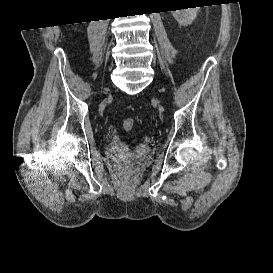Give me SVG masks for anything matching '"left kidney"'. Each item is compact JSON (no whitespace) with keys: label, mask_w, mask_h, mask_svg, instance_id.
I'll list each match as a JSON object with an SVG mask.
<instances>
[{"label":"left kidney","mask_w":273,"mask_h":273,"mask_svg":"<svg viewBox=\"0 0 273 273\" xmlns=\"http://www.w3.org/2000/svg\"><path fill=\"white\" fill-rule=\"evenodd\" d=\"M198 7L171 11L173 17L182 26L191 24L197 16Z\"/></svg>","instance_id":"1"}]
</instances>
